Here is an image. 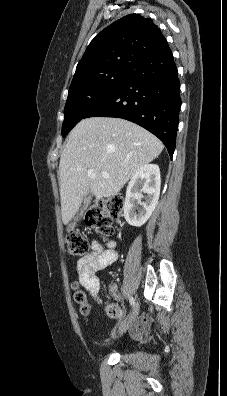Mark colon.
I'll use <instances>...</instances> for the list:
<instances>
[{"instance_id":"colon-1","label":"colon","mask_w":227,"mask_h":396,"mask_svg":"<svg viewBox=\"0 0 227 396\" xmlns=\"http://www.w3.org/2000/svg\"><path fill=\"white\" fill-rule=\"evenodd\" d=\"M124 200L119 195L110 196L96 201L87 211L85 221L88 226L102 238H110L114 233L113 221L119 218L123 212ZM67 251L71 256H85L89 253L87 239L79 232L73 231L66 236ZM74 299L81 306V312L87 315L90 306L86 302V294L74 283ZM110 316L116 315V307L112 304L107 306Z\"/></svg>"}]
</instances>
